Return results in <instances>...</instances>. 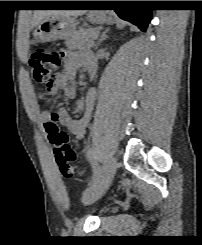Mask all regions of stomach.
Masks as SVG:
<instances>
[{
  "label": "stomach",
  "mask_w": 202,
  "mask_h": 245,
  "mask_svg": "<svg viewBox=\"0 0 202 245\" xmlns=\"http://www.w3.org/2000/svg\"><path fill=\"white\" fill-rule=\"evenodd\" d=\"M87 19L94 24L111 22V17L104 11H90ZM77 25L76 17L46 16L36 26L33 36L35 43H46L57 39H68Z\"/></svg>",
  "instance_id": "1"
}]
</instances>
